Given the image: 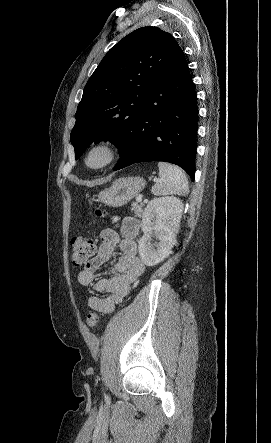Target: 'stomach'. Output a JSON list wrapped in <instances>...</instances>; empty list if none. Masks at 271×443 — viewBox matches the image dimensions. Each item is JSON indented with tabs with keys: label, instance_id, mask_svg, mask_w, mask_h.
I'll return each mask as SVG.
<instances>
[{
	"label": "stomach",
	"instance_id": "0dacf381",
	"mask_svg": "<svg viewBox=\"0 0 271 443\" xmlns=\"http://www.w3.org/2000/svg\"><path fill=\"white\" fill-rule=\"evenodd\" d=\"M143 188H145L143 178H119L113 182L111 188L100 192L98 200L106 206L120 208L135 198Z\"/></svg>",
	"mask_w": 271,
	"mask_h": 443
}]
</instances>
